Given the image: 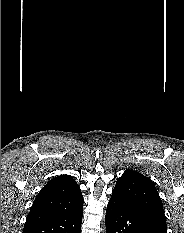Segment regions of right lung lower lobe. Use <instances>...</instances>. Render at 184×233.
<instances>
[{"label":"right lung lower lobe","instance_id":"98d812e1","mask_svg":"<svg viewBox=\"0 0 184 233\" xmlns=\"http://www.w3.org/2000/svg\"><path fill=\"white\" fill-rule=\"evenodd\" d=\"M83 210L24 226L23 233H80Z\"/></svg>","mask_w":184,"mask_h":233}]
</instances>
